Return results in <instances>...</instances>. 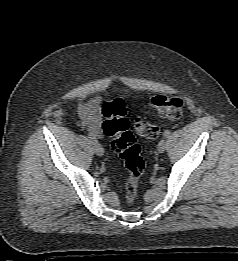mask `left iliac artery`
<instances>
[{"instance_id": "left-iliac-artery-1", "label": "left iliac artery", "mask_w": 238, "mask_h": 261, "mask_svg": "<svg viewBox=\"0 0 238 261\" xmlns=\"http://www.w3.org/2000/svg\"><path fill=\"white\" fill-rule=\"evenodd\" d=\"M163 136L166 137V138L169 137L170 131H168V130L164 131Z\"/></svg>"}]
</instances>
